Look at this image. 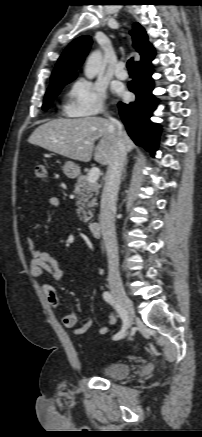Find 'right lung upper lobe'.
<instances>
[{
	"label": "right lung upper lobe",
	"instance_id": "cb5924a9",
	"mask_svg": "<svg viewBox=\"0 0 202 437\" xmlns=\"http://www.w3.org/2000/svg\"><path fill=\"white\" fill-rule=\"evenodd\" d=\"M130 35L133 47L141 56V60L136 63L148 61L155 56L154 47L149 43L146 31L139 23H134ZM91 44V37L87 35L73 40L58 59L50 79V85L61 80L75 78L77 75L75 71L83 63Z\"/></svg>",
	"mask_w": 202,
	"mask_h": 437
}]
</instances>
